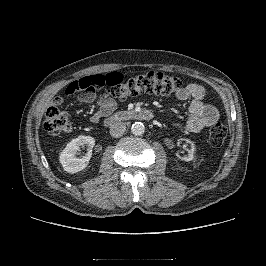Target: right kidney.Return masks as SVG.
<instances>
[{"mask_svg": "<svg viewBox=\"0 0 266 266\" xmlns=\"http://www.w3.org/2000/svg\"><path fill=\"white\" fill-rule=\"evenodd\" d=\"M95 145V140L91 136L80 135L67 143L66 147L60 153L59 161L63 169L68 173H77L85 169L92 155V149ZM80 146L88 147V152L83 157H77V151Z\"/></svg>", "mask_w": 266, "mask_h": 266, "instance_id": "obj_1", "label": "right kidney"}]
</instances>
